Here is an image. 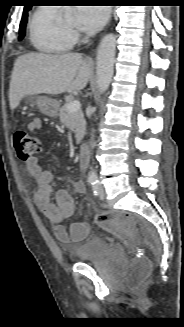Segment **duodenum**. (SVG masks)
<instances>
[{"instance_id": "obj_1", "label": "duodenum", "mask_w": 184, "mask_h": 327, "mask_svg": "<svg viewBox=\"0 0 184 327\" xmlns=\"http://www.w3.org/2000/svg\"><path fill=\"white\" fill-rule=\"evenodd\" d=\"M78 156L81 167L85 168L88 163V145L86 143L79 146Z\"/></svg>"}]
</instances>
